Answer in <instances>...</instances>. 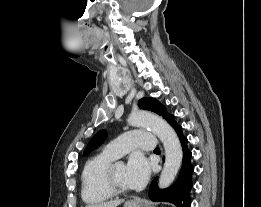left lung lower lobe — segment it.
Listing matches in <instances>:
<instances>
[{
  "label": "left lung lower lobe",
  "mask_w": 261,
  "mask_h": 207,
  "mask_svg": "<svg viewBox=\"0 0 261 207\" xmlns=\"http://www.w3.org/2000/svg\"><path fill=\"white\" fill-rule=\"evenodd\" d=\"M181 142L183 150V160L179 176L169 188L159 189L157 187V178H155L149 188V198L152 201H164L174 204L176 207H190V191L193 187L192 175L194 167L191 165V152L187 148V138L183 135L182 126L178 123L172 125Z\"/></svg>",
  "instance_id": "left-lung-lower-lobe-1"
}]
</instances>
